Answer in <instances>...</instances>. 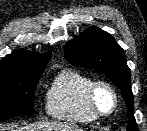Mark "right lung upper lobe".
Masks as SVG:
<instances>
[{
	"label": "right lung upper lobe",
	"mask_w": 147,
	"mask_h": 131,
	"mask_svg": "<svg viewBox=\"0 0 147 131\" xmlns=\"http://www.w3.org/2000/svg\"><path fill=\"white\" fill-rule=\"evenodd\" d=\"M50 58V53L38 54L23 50L14 51L0 61V72L30 73L43 71Z\"/></svg>",
	"instance_id": "1"
}]
</instances>
